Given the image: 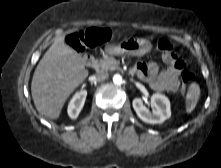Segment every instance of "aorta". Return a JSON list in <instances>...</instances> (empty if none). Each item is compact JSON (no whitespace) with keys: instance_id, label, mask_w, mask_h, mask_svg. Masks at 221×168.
<instances>
[{"instance_id":"1","label":"aorta","mask_w":221,"mask_h":168,"mask_svg":"<svg viewBox=\"0 0 221 168\" xmlns=\"http://www.w3.org/2000/svg\"><path fill=\"white\" fill-rule=\"evenodd\" d=\"M113 82L118 85L121 84L122 83V76L119 74H115L113 76Z\"/></svg>"}]
</instances>
